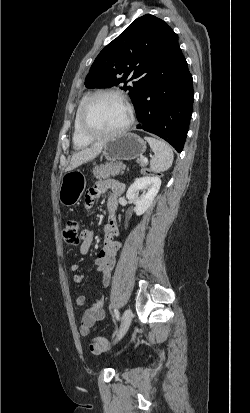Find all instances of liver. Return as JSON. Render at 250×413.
Wrapping results in <instances>:
<instances>
[{
  "label": "liver",
  "instance_id": "liver-1",
  "mask_svg": "<svg viewBox=\"0 0 250 413\" xmlns=\"http://www.w3.org/2000/svg\"><path fill=\"white\" fill-rule=\"evenodd\" d=\"M104 145L105 141H97L90 147L75 152L72 155L70 164L65 171H72L80 165L93 160L102 152Z\"/></svg>",
  "mask_w": 250,
  "mask_h": 413
}]
</instances>
